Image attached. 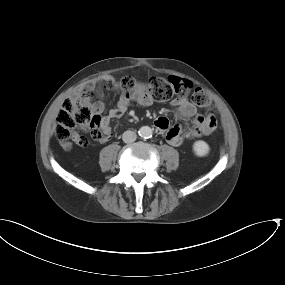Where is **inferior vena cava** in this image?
Here are the masks:
<instances>
[{
    "label": "inferior vena cava",
    "instance_id": "obj_1",
    "mask_svg": "<svg viewBox=\"0 0 285 285\" xmlns=\"http://www.w3.org/2000/svg\"><path fill=\"white\" fill-rule=\"evenodd\" d=\"M137 134L134 131L127 130L123 133L122 139L125 143H132L136 140Z\"/></svg>",
    "mask_w": 285,
    "mask_h": 285
}]
</instances>
